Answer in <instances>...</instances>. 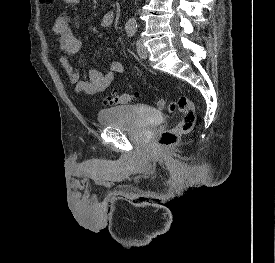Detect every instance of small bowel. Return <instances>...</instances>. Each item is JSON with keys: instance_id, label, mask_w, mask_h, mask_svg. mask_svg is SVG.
I'll use <instances>...</instances> for the list:
<instances>
[{"instance_id": "c3829d8e", "label": "small bowel", "mask_w": 275, "mask_h": 263, "mask_svg": "<svg viewBox=\"0 0 275 263\" xmlns=\"http://www.w3.org/2000/svg\"><path fill=\"white\" fill-rule=\"evenodd\" d=\"M66 3L76 4L80 0H64ZM115 20V13L108 11L101 15L98 25L102 28L110 27ZM53 30L58 35V49L62 53L60 63L66 72L69 82L77 93L94 95L104 91L114 81L117 74L123 72L121 62L111 63L110 71L102 74L96 69H78L69 60L70 55L77 54L82 48V41L75 35L70 18L59 16L53 24Z\"/></svg>"}]
</instances>
